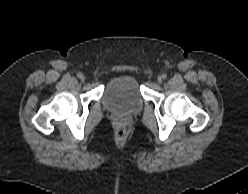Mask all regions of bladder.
I'll return each mask as SVG.
<instances>
[{
  "mask_svg": "<svg viewBox=\"0 0 248 194\" xmlns=\"http://www.w3.org/2000/svg\"><path fill=\"white\" fill-rule=\"evenodd\" d=\"M103 100L112 110L128 114L138 112L143 106L138 79L129 74L115 77L106 86Z\"/></svg>",
  "mask_w": 248,
  "mask_h": 194,
  "instance_id": "obj_1",
  "label": "bladder"
}]
</instances>
